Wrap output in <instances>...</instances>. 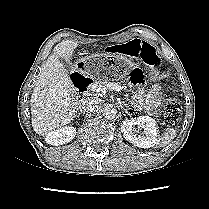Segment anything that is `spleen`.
Masks as SVG:
<instances>
[{
	"instance_id": "spleen-1",
	"label": "spleen",
	"mask_w": 209,
	"mask_h": 209,
	"mask_svg": "<svg viewBox=\"0 0 209 209\" xmlns=\"http://www.w3.org/2000/svg\"><path fill=\"white\" fill-rule=\"evenodd\" d=\"M177 136V131L174 128L168 129L159 143L160 146H166Z\"/></svg>"
}]
</instances>
